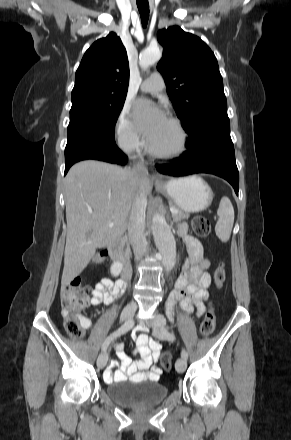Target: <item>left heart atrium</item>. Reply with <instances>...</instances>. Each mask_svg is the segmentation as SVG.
Wrapping results in <instances>:
<instances>
[{"mask_svg":"<svg viewBox=\"0 0 291 440\" xmlns=\"http://www.w3.org/2000/svg\"><path fill=\"white\" fill-rule=\"evenodd\" d=\"M133 115L139 130L148 140L154 136L158 127L166 120L161 108L149 104L143 99L137 100L134 103Z\"/></svg>","mask_w":291,"mask_h":440,"instance_id":"left-heart-atrium-1","label":"left heart atrium"}]
</instances>
